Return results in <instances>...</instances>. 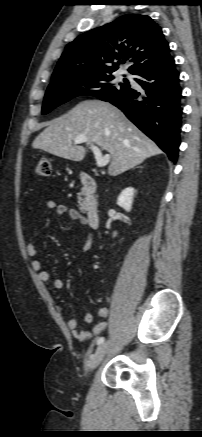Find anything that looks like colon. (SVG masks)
Masks as SVG:
<instances>
[{"label": "colon", "instance_id": "colon-1", "mask_svg": "<svg viewBox=\"0 0 202 437\" xmlns=\"http://www.w3.org/2000/svg\"><path fill=\"white\" fill-rule=\"evenodd\" d=\"M52 165L49 158H41L36 165V173L42 177H48L51 175Z\"/></svg>", "mask_w": 202, "mask_h": 437}]
</instances>
